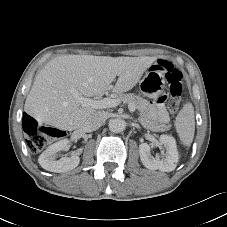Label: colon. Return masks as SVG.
I'll return each mask as SVG.
<instances>
[{"label": "colon", "instance_id": "colon-1", "mask_svg": "<svg viewBox=\"0 0 227 227\" xmlns=\"http://www.w3.org/2000/svg\"><path fill=\"white\" fill-rule=\"evenodd\" d=\"M154 68L162 72L169 82L168 109L175 115L180 108V97L182 93L183 73L166 60L160 59ZM24 130L27 134V144L33 152L43 149L47 144V135H57L58 131L41 126L35 119L28 117L24 122Z\"/></svg>", "mask_w": 227, "mask_h": 227}]
</instances>
